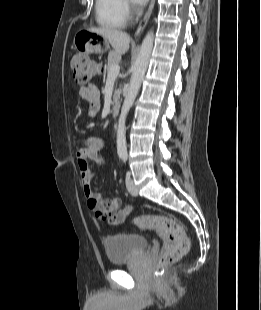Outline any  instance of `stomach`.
Segmentation results:
<instances>
[{
  "label": "stomach",
  "mask_w": 261,
  "mask_h": 310,
  "mask_svg": "<svg viewBox=\"0 0 261 310\" xmlns=\"http://www.w3.org/2000/svg\"><path fill=\"white\" fill-rule=\"evenodd\" d=\"M74 46L81 51L85 50L100 54L109 49V42L99 34L82 30L75 35Z\"/></svg>",
  "instance_id": "0dacf381"
}]
</instances>
